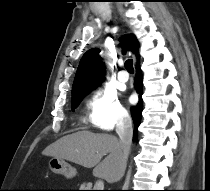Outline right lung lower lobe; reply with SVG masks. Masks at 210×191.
<instances>
[{
	"label": "right lung lower lobe",
	"mask_w": 210,
	"mask_h": 191,
	"mask_svg": "<svg viewBox=\"0 0 210 191\" xmlns=\"http://www.w3.org/2000/svg\"><path fill=\"white\" fill-rule=\"evenodd\" d=\"M136 69H137V72H136L134 85L136 86L137 93L140 94L142 92L141 87H142L143 78H142L141 72L139 70V66H137ZM141 113H142V103H141V101H139L136 106L131 108V114H132L135 128H137L140 124ZM136 135H137V132L134 130L133 137L135 138Z\"/></svg>",
	"instance_id": "obj_1"
}]
</instances>
